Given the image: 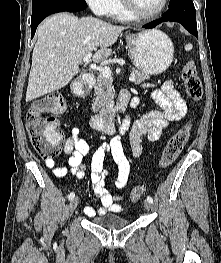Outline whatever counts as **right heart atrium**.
<instances>
[{
	"mask_svg": "<svg viewBox=\"0 0 221 263\" xmlns=\"http://www.w3.org/2000/svg\"><path fill=\"white\" fill-rule=\"evenodd\" d=\"M89 8L97 15H110L116 0H85Z\"/></svg>",
	"mask_w": 221,
	"mask_h": 263,
	"instance_id": "d8ad5b80",
	"label": "right heart atrium"
}]
</instances>
